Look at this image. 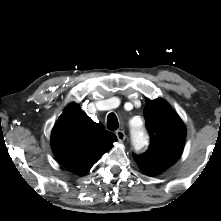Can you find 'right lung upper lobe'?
<instances>
[{"label":"right lung upper lobe","instance_id":"1","mask_svg":"<svg viewBox=\"0 0 221 221\" xmlns=\"http://www.w3.org/2000/svg\"><path fill=\"white\" fill-rule=\"evenodd\" d=\"M116 140V136L101 123H95L82 113L77 104L71 103L53 128L51 146L62 164L77 174H83L112 148Z\"/></svg>","mask_w":221,"mask_h":221}]
</instances>
